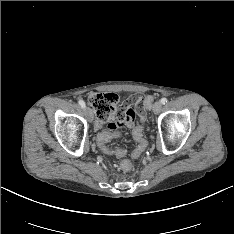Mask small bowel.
Listing matches in <instances>:
<instances>
[{
	"label": "small bowel",
	"instance_id": "c3829d8e",
	"mask_svg": "<svg viewBox=\"0 0 234 234\" xmlns=\"http://www.w3.org/2000/svg\"><path fill=\"white\" fill-rule=\"evenodd\" d=\"M144 106V96L143 95H136L130 100H127L122 106L121 110L127 115V121L124 125L128 128L132 129V132L135 126V120L137 117V121L142 123L144 118L142 117L144 110L142 109ZM144 141V140H143Z\"/></svg>",
	"mask_w": 234,
	"mask_h": 234
}]
</instances>
